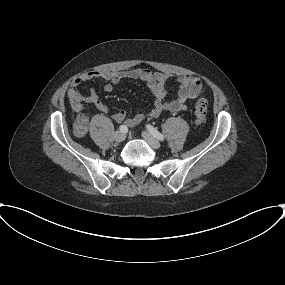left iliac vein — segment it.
Masks as SVG:
<instances>
[{
    "mask_svg": "<svg viewBox=\"0 0 285 285\" xmlns=\"http://www.w3.org/2000/svg\"><path fill=\"white\" fill-rule=\"evenodd\" d=\"M142 136L153 149H159L161 147L160 142L147 131H144Z\"/></svg>",
    "mask_w": 285,
    "mask_h": 285,
    "instance_id": "4c4485c4",
    "label": "left iliac vein"
}]
</instances>
